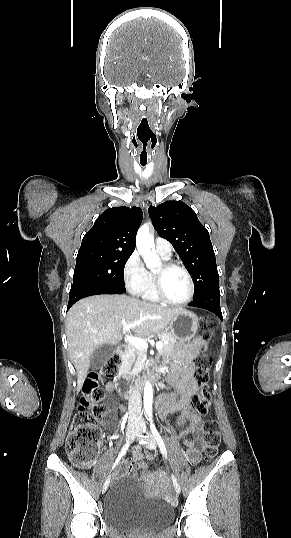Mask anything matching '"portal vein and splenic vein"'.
<instances>
[{"mask_svg":"<svg viewBox=\"0 0 291 538\" xmlns=\"http://www.w3.org/2000/svg\"><path fill=\"white\" fill-rule=\"evenodd\" d=\"M136 325H137V323H126V324L123 325V330L128 331L129 329H131L132 327H134ZM94 332H96V330H94ZM126 339L135 348H138V349H147L148 348V343L145 340H143V339H141L139 337L127 335ZM162 346H163L162 341H157L156 342V348L157 349L161 348Z\"/></svg>","mask_w":291,"mask_h":538,"instance_id":"portal-vein-and-splenic-vein-1","label":"portal vein and splenic vein"}]
</instances>
